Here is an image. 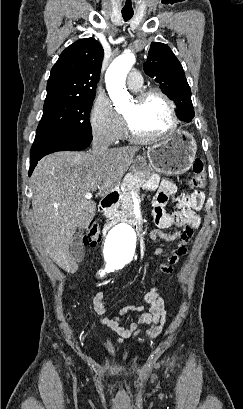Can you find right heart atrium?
Segmentation results:
<instances>
[{"instance_id":"right-heart-atrium-1","label":"right heart atrium","mask_w":243,"mask_h":409,"mask_svg":"<svg viewBox=\"0 0 243 409\" xmlns=\"http://www.w3.org/2000/svg\"><path fill=\"white\" fill-rule=\"evenodd\" d=\"M89 120L91 132L96 139L110 144L123 137V121L107 97L96 98Z\"/></svg>"}]
</instances>
